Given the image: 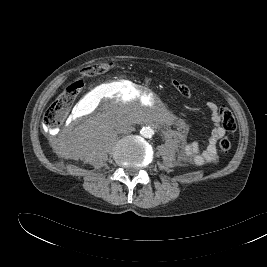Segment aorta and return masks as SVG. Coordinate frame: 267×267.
Here are the masks:
<instances>
[{"label":"aorta","instance_id":"obj_1","mask_svg":"<svg viewBox=\"0 0 267 267\" xmlns=\"http://www.w3.org/2000/svg\"><path fill=\"white\" fill-rule=\"evenodd\" d=\"M140 134L145 138H151L154 135V130L151 127H143Z\"/></svg>","mask_w":267,"mask_h":267}]
</instances>
